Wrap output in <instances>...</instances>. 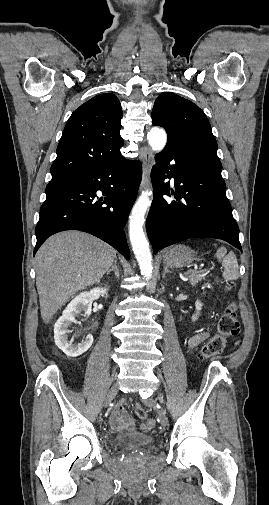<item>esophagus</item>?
I'll list each match as a JSON object with an SVG mask.
<instances>
[{
	"label": "esophagus",
	"instance_id": "obj_1",
	"mask_svg": "<svg viewBox=\"0 0 269 505\" xmlns=\"http://www.w3.org/2000/svg\"><path fill=\"white\" fill-rule=\"evenodd\" d=\"M152 165H153V153L149 148H146L143 158V174L140 184V191L145 189L149 184V177Z\"/></svg>",
	"mask_w": 269,
	"mask_h": 505
}]
</instances>
